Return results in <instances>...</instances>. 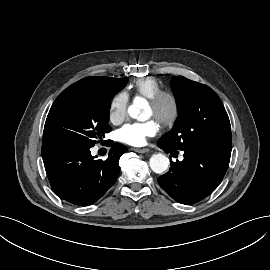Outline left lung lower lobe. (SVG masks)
<instances>
[{
	"instance_id": "obj_1",
	"label": "left lung lower lobe",
	"mask_w": 270,
	"mask_h": 270,
	"mask_svg": "<svg viewBox=\"0 0 270 270\" xmlns=\"http://www.w3.org/2000/svg\"><path fill=\"white\" fill-rule=\"evenodd\" d=\"M158 146L165 152L174 150L162 143ZM183 151V161H171L170 170L158 178V183L174 200L193 204L209 196L221 183L231 147L196 144Z\"/></svg>"
}]
</instances>
